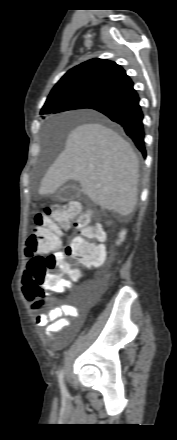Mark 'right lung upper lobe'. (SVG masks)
<instances>
[{"mask_svg": "<svg viewBox=\"0 0 177 440\" xmlns=\"http://www.w3.org/2000/svg\"><path fill=\"white\" fill-rule=\"evenodd\" d=\"M132 83L121 66L106 59L96 58L70 69L54 86L48 97L62 92H79L99 99Z\"/></svg>", "mask_w": 177, "mask_h": 440, "instance_id": "1", "label": "right lung upper lobe"}]
</instances>
